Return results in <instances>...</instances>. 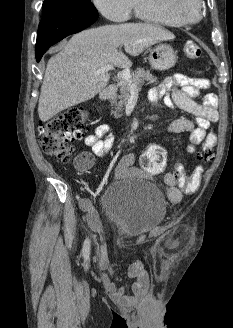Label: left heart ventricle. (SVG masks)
Wrapping results in <instances>:
<instances>
[{"label":"left heart ventricle","instance_id":"1","mask_svg":"<svg viewBox=\"0 0 233 328\" xmlns=\"http://www.w3.org/2000/svg\"><path fill=\"white\" fill-rule=\"evenodd\" d=\"M179 11L185 17H194L197 12L196 0H179Z\"/></svg>","mask_w":233,"mask_h":328}]
</instances>
